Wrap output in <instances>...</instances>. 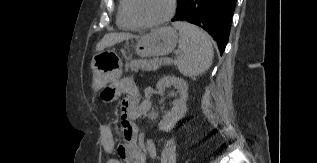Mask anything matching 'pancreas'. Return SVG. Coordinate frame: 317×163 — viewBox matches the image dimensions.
I'll list each match as a JSON object with an SVG mask.
<instances>
[{"mask_svg":"<svg viewBox=\"0 0 317 163\" xmlns=\"http://www.w3.org/2000/svg\"><path fill=\"white\" fill-rule=\"evenodd\" d=\"M167 64L165 59L162 58H154L151 60L147 59H138V60H131L130 62L125 63V72L129 70L138 72L139 69L142 70H156L158 69L159 65Z\"/></svg>","mask_w":317,"mask_h":163,"instance_id":"obj_1","label":"pancreas"}]
</instances>
